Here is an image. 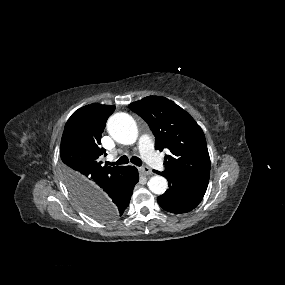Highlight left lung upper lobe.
<instances>
[{"instance_id": "1", "label": "left lung upper lobe", "mask_w": 285, "mask_h": 285, "mask_svg": "<svg viewBox=\"0 0 285 285\" xmlns=\"http://www.w3.org/2000/svg\"><path fill=\"white\" fill-rule=\"evenodd\" d=\"M149 125L155 148L170 150L165 156L163 173L182 180L208 185L210 157L202 129L183 109L169 100L148 96L129 105Z\"/></svg>"}]
</instances>
